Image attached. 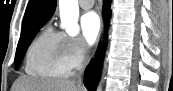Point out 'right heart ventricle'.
I'll return each mask as SVG.
<instances>
[{
  "mask_svg": "<svg viewBox=\"0 0 173 91\" xmlns=\"http://www.w3.org/2000/svg\"><path fill=\"white\" fill-rule=\"evenodd\" d=\"M71 70L64 55L63 36L45 29L27 51V74L44 79L67 78Z\"/></svg>",
  "mask_w": 173,
  "mask_h": 91,
  "instance_id": "right-heart-ventricle-1",
  "label": "right heart ventricle"
}]
</instances>
